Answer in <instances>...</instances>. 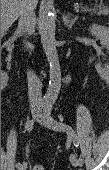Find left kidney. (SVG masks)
I'll return each instance as SVG.
<instances>
[{"instance_id":"obj_1","label":"left kidney","mask_w":109,"mask_h":170,"mask_svg":"<svg viewBox=\"0 0 109 170\" xmlns=\"http://www.w3.org/2000/svg\"><path fill=\"white\" fill-rule=\"evenodd\" d=\"M90 33L92 34V36L96 37L97 39L100 40L101 44L108 48L109 47V31L106 27L104 26H100L97 24H93L90 28H89ZM95 68L97 70V72L101 75V76H106L109 73V65L108 63H105L104 65H101L100 63H97L95 65Z\"/></svg>"}]
</instances>
